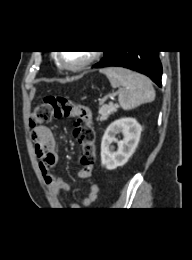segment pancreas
<instances>
[{
    "label": "pancreas",
    "instance_id": "obj_1",
    "mask_svg": "<svg viewBox=\"0 0 192 260\" xmlns=\"http://www.w3.org/2000/svg\"><path fill=\"white\" fill-rule=\"evenodd\" d=\"M118 105L117 104H109V105H102L99 108V117L100 121H105L109 118L111 114L117 111Z\"/></svg>",
    "mask_w": 192,
    "mask_h": 260
}]
</instances>
